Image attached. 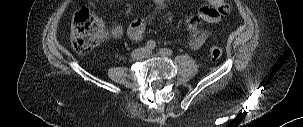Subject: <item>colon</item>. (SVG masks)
I'll use <instances>...</instances> for the list:
<instances>
[{
	"mask_svg": "<svg viewBox=\"0 0 303 127\" xmlns=\"http://www.w3.org/2000/svg\"><path fill=\"white\" fill-rule=\"evenodd\" d=\"M104 33L102 21L85 9L79 10L72 22V43L79 53H87L95 48L102 40ZM209 56L217 60L222 56V50L217 45H211Z\"/></svg>",
	"mask_w": 303,
	"mask_h": 127,
	"instance_id": "obj_1",
	"label": "colon"
}]
</instances>
